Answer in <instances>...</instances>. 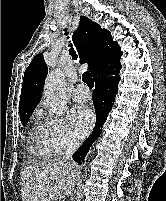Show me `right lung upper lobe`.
<instances>
[{"mask_svg":"<svg viewBox=\"0 0 166 201\" xmlns=\"http://www.w3.org/2000/svg\"><path fill=\"white\" fill-rule=\"evenodd\" d=\"M73 42L80 55V63H88L94 79L108 66L120 64L123 52L112 40L110 31L86 16L80 17L78 29L73 33ZM48 69L43 54H37L26 69L20 96V118L30 116L41 99Z\"/></svg>","mask_w":166,"mask_h":201,"instance_id":"1","label":"right lung upper lobe"}]
</instances>
